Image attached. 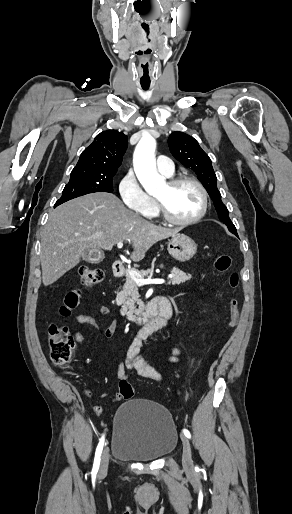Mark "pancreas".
Returning <instances> with one entry per match:
<instances>
[{"label": "pancreas", "mask_w": 292, "mask_h": 514, "mask_svg": "<svg viewBox=\"0 0 292 514\" xmlns=\"http://www.w3.org/2000/svg\"><path fill=\"white\" fill-rule=\"evenodd\" d=\"M142 278L145 276H149V274H153V270H136ZM171 274L173 278H170L168 284H172V286H176V284H181V282H186V280H190L192 278L191 274H185V272H181L178 268H173L171 270ZM116 302L118 306H122L120 312L121 316H128V318H134V316H138L141 310H137L135 304H141L143 306L142 300H139L138 288L136 282L132 280L129 274H126V282L123 286V290L118 292Z\"/></svg>", "instance_id": "obj_1"}]
</instances>
